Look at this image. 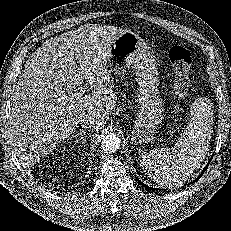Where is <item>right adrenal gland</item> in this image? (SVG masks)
Wrapping results in <instances>:
<instances>
[{"mask_svg":"<svg viewBox=\"0 0 231 231\" xmlns=\"http://www.w3.org/2000/svg\"><path fill=\"white\" fill-rule=\"evenodd\" d=\"M86 133H87V130H79L78 131V133L76 134V135H74V136H72V137H75V138H77V137H81V139H82V137L84 136V135H86Z\"/></svg>","mask_w":231,"mask_h":231,"instance_id":"1","label":"right adrenal gland"}]
</instances>
